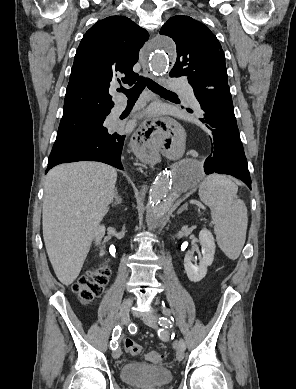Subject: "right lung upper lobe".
<instances>
[{"instance_id":"obj_1","label":"right lung upper lobe","mask_w":296,"mask_h":389,"mask_svg":"<svg viewBox=\"0 0 296 389\" xmlns=\"http://www.w3.org/2000/svg\"><path fill=\"white\" fill-rule=\"evenodd\" d=\"M148 32L124 16H110L93 25L76 51L67 86L63 117L110 113L114 106L109 88L135 83L132 68Z\"/></svg>"}]
</instances>
